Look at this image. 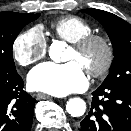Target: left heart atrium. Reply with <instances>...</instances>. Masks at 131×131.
Returning <instances> with one entry per match:
<instances>
[{
	"label": "left heart atrium",
	"instance_id": "39dd6f15",
	"mask_svg": "<svg viewBox=\"0 0 131 131\" xmlns=\"http://www.w3.org/2000/svg\"><path fill=\"white\" fill-rule=\"evenodd\" d=\"M28 85L35 91L64 96L84 90L88 80L83 67L76 61L64 64L47 62L30 71Z\"/></svg>",
	"mask_w": 131,
	"mask_h": 131
}]
</instances>
